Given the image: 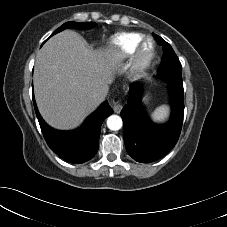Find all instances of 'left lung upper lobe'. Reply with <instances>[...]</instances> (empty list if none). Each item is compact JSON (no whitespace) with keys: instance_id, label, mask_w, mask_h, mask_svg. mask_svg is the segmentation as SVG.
<instances>
[{"instance_id":"1","label":"left lung upper lobe","mask_w":227,"mask_h":227,"mask_svg":"<svg viewBox=\"0 0 227 227\" xmlns=\"http://www.w3.org/2000/svg\"><path fill=\"white\" fill-rule=\"evenodd\" d=\"M154 36L156 37L158 43L163 46V56L158 72H173L176 74H182L181 63L171 45L163 40L160 36L156 34H154Z\"/></svg>"}]
</instances>
